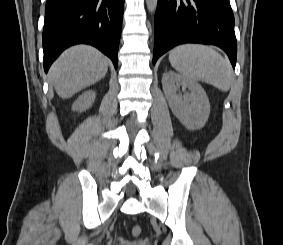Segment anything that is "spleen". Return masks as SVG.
<instances>
[{"mask_svg": "<svg viewBox=\"0 0 283 245\" xmlns=\"http://www.w3.org/2000/svg\"><path fill=\"white\" fill-rule=\"evenodd\" d=\"M169 61L172 67L187 79L210 83L224 92L231 87V65L211 46L179 45L170 51Z\"/></svg>", "mask_w": 283, "mask_h": 245, "instance_id": "3e777b00", "label": "spleen"}]
</instances>
